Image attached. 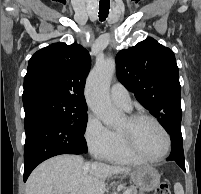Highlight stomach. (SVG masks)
Wrapping results in <instances>:
<instances>
[{
	"label": "stomach",
	"instance_id": "0dacf381",
	"mask_svg": "<svg viewBox=\"0 0 201 194\" xmlns=\"http://www.w3.org/2000/svg\"><path fill=\"white\" fill-rule=\"evenodd\" d=\"M131 178L135 187L141 192H149L155 189L160 183V175L151 166L138 167L126 173Z\"/></svg>",
	"mask_w": 201,
	"mask_h": 194
}]
</instances>
